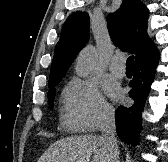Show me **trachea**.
Here are the masks:
<instances>
[{"label": "trachea", "instance_id": "1", "mask_svg": "<svg viewBox=\"0 0 168 162\" xmlns=\"http://www.w3.org/2000/svg\"><path fill=\"white\" fill-rule=\"evenodd\" d=\"M133 64H134V57L129 56L127 61H126V67H132L133 68Z\"/></svg>", "mask_w": 168, "mask_h": 162}]
</instances>
